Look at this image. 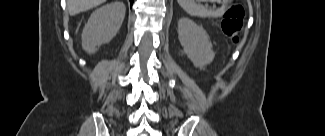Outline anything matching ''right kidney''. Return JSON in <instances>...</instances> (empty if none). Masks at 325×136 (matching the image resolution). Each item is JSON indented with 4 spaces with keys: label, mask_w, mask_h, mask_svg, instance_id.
I'll return each instance as SVG.
<instances>
[{
    "label": "right kidney",
    "mask_w": 325,
    "mask_h": 136,
    "mask_svg": "<svg viewBox=\"0 0 325 136\" xmlns=\"http://www.w3.org/2000/svg\"><path fill=\"white\" fill-rule=\"evenodd\" d=\"M125 10L123 2L118 0L95 10L83 29L82 48L92 54L102 44L109 43L123 23Z\"/></svg>",
    "instance_id": "ca27d5eb"
}]
</instances>
